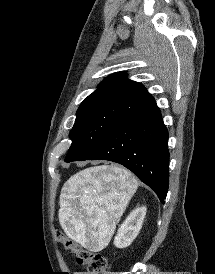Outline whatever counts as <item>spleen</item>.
Returning <instances> with one entry per match:
<instances>
[{
    "label": "spleen",
    "mask_w": 215,
    "mask_h": 274,
    "mask_svg": "<svg viewBox=\"0 0 215 274\" xmlns=\"http://www.w3.org/2000/svg\"><path fill=\"white\" fill-rule=\"evenodd\" d=\"M138 187L126 169L112 166L88 168L71 176L60 195L59 220L69 237L82 245L107 243L116 221Z\"/></svg>",
    "instance_id": "1"
}]
</instances>
